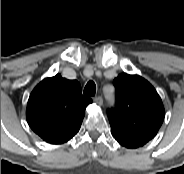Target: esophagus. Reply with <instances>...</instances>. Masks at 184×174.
Instances as JSON below:
<instances>
[{"mask_svg": "<svg viewBox=\"0 0 184 174\" xmlns=\"http://www.w3.org/2000/svg\"><path fill=\"white\" fill-rule=\"evenodd\" d=\"M93 101L97 104V105H102L103 104V98L101 96H97L93 98Z\"/></svg>", "mask_w": 184, "mask_h": 174, "instance_id": "esophagus-1", "label": "esophagus"}]
</instances>
